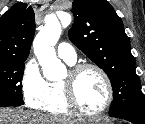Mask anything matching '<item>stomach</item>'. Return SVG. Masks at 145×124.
<instances>
[{
    "instance_id": "0dacf381",
    "label": "stomach",
    "mask_w": 145,
    "mask_h": 124,
    "mask_svg": "<svg viewBox=\"0 0 145 124\" xmlns=\"http://www.w3.org/2000/svg\"><path fill=\"white\" fill-rule=\"evenodd\" d=\"M79 124H106L104 121H101L99 119H89V120H83Z\"/></svg>"
}]
</instances>
